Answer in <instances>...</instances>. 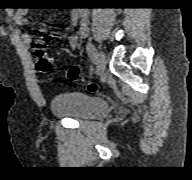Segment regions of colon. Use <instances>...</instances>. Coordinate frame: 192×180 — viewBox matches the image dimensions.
<instances>
[{
	"mask_svg": "<svg viewBox=\"0 0 192 180\" xmlns=\"http://www.w3.org/2000/svg\"><path fill=\"white\" fill-rule=\"evenodd\" d=\"M53 35L40 37L33 44V54L36 58V66L39 71L47 73L51 70L52 63L47 56V43ZM67 76L70 80L75 81L80 78V70L78 67H72L69 69ZM97 85L95 83L89 84L90 91H96Z\"/></svg>",
	"mask_w": 192,
	"mask_h": 180,
	"instance_id": "1",
	"label": "colon"
}]
</instances>
